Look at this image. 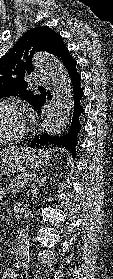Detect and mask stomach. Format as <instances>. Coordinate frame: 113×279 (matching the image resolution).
Returning <instances> with one entry per match:
<instances>
[{"label": "stomach", "instance_id": "1", "mask_svg": "<svg viewBox=\"0 0 113 279\" xmlns=\"http://www.w3.org/2000/svg\"><path fill=\"white\" fill-rule=\"evenodd\" d=\"M51 154L45 150L12 147L0 151V177L15 171H27L46 165Z\"/></svg>", "mask_w": 113, "mask_h": 279}]
</instances>
